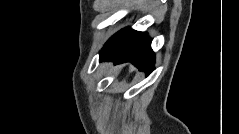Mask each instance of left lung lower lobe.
I'll use <instances>...</instances> for the list:
<instances>
[{"label": "left lung lower lobe", "mask_w": 239, "mask_h": 134, "mask_svg": "<svg viewBox=\"0 0 239 134\" xmlns=\"http://www.w3.org/2000/svg\"><path fill=\"white\" fill-rule=\"evenodd\" d=\"M100 59L115 64L131 62L149 75L155 63L150 40L144 33L124 28L112 36L100 52Z\"/></svg>", "instance_id": "0a47b994"}]
</instances>
